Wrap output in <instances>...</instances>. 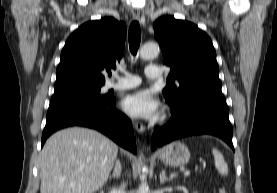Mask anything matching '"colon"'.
Instances as JSON below:
<instances>
[{
	"instance_id": "5ec220e1",
	"label": "colon",
	"mask_w": 277,
	"mask_h": 193,
	"mask_svg": "<svg viewBox=\"0 0 277 193\" xmlns=\"http://www.w3.org/2000/svg\"><path fill=\"white\" fill-rule=\"evenodd\" d=\"M220 193H227L224 188H221Z\"/></svg>"
}]
</instances>
